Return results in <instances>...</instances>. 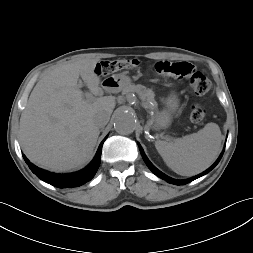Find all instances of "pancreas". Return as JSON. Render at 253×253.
I'll return each mask as SVG.
<instances>
[{
    "mask_svg": "<svg viewBox=\"0 0 253 253\" xmlns=\"http://www.w3.org/2000/svg\"><path fill=\"white\" fill-rule=\"evenodd\" d=\"M131 93H137L142 101V106L148 110H156L157 103L154 99V92L151 89H147L143 85L129 84L124 89L122 94L129 95Z\"/></svg>",
    "mask_w": 253,
    "mask_h": 253,
    "instance_id": "pancreas-1",
    "label": "pancreas"
}]
</instances>
